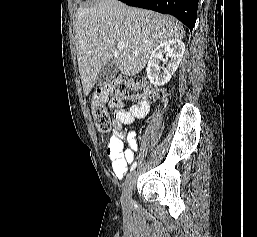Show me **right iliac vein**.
Wrapping results in <instances>:
<instances>
[{
	"label": "right iliac vein",
	"instance_id": "obj_1",
	"mask_svg": "<svg viewBox=\"0 0 257 237\" xmlns=\"http://www.w3.org/2000/svg\"><path fill=\"white\" fill-rule=\"evenodd\" d=\"M134 178H135V172H131L123 186V192L121 196V202L124 207H127L131 203V196H132V188L134 185Z\"/></svg>",
	"mask_w": 257,
	"mask_h": 237
}]
</instances>
